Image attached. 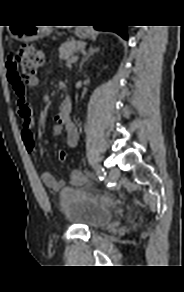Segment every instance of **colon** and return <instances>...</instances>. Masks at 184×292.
<instances>
[{"label": "colon", "mask_w": 184, "mask_h": 292, "mask_svg": "<svg viewBox=\"0 0 184 292\" xmlns=\"http://www.w3.org/2000/svg\"><path fill=\"white\" fill-rule=\"evenodd\" d=\"M43 64L44 53L42 51L29 45L22 46L8 59L7 66L10 83L15 85L24 94L28 82L35 77L37 71ZM28 105L30 106V109H32L29 103ZM24 140L28 149L31 151L35 150L34 136L32 133H26L24 135ZM55 158L57 161L63 162L66 159L65 151L59 150Z\"/></svg>", "instance_id": "5ec220e1"}]
</instances>
